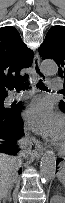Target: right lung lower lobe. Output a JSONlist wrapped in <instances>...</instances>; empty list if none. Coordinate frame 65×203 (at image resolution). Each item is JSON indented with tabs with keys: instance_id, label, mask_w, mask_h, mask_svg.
Here are the masks:
<instances>
[{
	"instance_id": "98d812e1",
	"label": "right lung lower lobe",
	"mask_w": 65,
	"mask_h": 203,
	"mask_svg": "<svg viewBox=\"0 0 65 203\" xmlns=\"http://www.w3.org/2000/svg\"><path fill=\"white\" fill-rule=\"evenodd\" d=\"M7 94L0 97L5 98ZM21 105L0 111V152L14 155L19 149L15 141L23 135V119L20 116Z\"/></svg>"
}]
</instances>
